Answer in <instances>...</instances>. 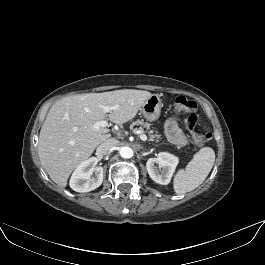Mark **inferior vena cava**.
Listing matches in <instances>:
<instances>
[{
  "label": "inferior vena cava",
  "instance_id": "obj_1",
  "mask_svg": "<svg viewBox=\"0 0 265 265\" xmlns=\"http://www.w3.org/2000/svg\"><path fill=\"white\" fill-rule=\"evenodd\" d=\"M117 144V140L114 138H110L105 142L101 143L97 148V153L99 155H106L108 154L112 148Z\"/></svg>",
  "mask_w": 265,
  "mask_h": 265
}]
</instances>
